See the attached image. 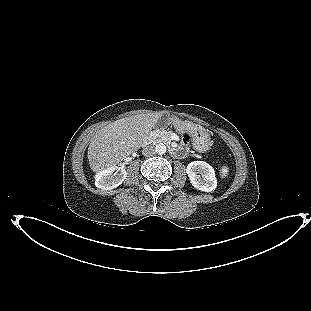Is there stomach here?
Masks as SVG:
<instances>
[{
  "label": "stomach",
  "mask_w": 311,
  "mask_h": 311,
  "mask_svg": "<svg viewBox=\"0 0 311 311\" xmlns=\"http://www.w3.org/2000/svg\"><path fill=\"white\" fill-rule=\"evenodd\" d=\"M170 123H172L174 125L175 129L179 132H183L186 129H188L187 124H185L184 122L180 121L177 118L171 119ZM193 133H194L193 134V136H194V141H193L194 149L200 153L207 152L212 145L211 139L208 136V134L205 131L200 130V129H194Z\"/></svg>",
  "instance_id": "0dacf381"
}]
</instances>
